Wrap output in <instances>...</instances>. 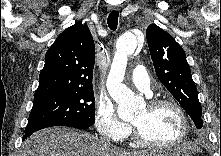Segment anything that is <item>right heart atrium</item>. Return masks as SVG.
I'll use <instances>...</instances> for the list:
<instances>
[{"mask_svg":"<svg viewBox=\"0 0 221 156\" xmlns=\"http://www.w3.org/2000/svg\"><path fill=\"white\" fill-rule=\"evenodd\" d=\"M94 123L99 134L112 141L123 140L131 132V126L118 117L113 102L106 97L96 102Z\"/></svg>","mask_w":221,"mask_h":156,"instance_id":"d8ad5b80","label":"right heart atrium"}]
</instances>
